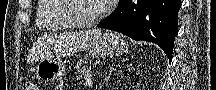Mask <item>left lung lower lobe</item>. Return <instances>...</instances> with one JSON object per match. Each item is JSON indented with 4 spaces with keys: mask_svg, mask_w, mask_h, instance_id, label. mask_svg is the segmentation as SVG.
Wrapping results in <instances>:
<instances>
[{
    "mask_svg": "<svg viewBox=\"0 0 216 90\" xmlns=\"http://www.w3.org/2000/svg\"><path fill=\"white\" fill-rule=\"evenodd\" d=\"M180 5V0H121L118 8L97 26L153 42L171 62Z\"/></svg>",
    "mask_w": 216,
    "mask_h": 90,
    "instance_id": "0a47b994",
    "label": "left lung lower lobe"
}]
</instances>
